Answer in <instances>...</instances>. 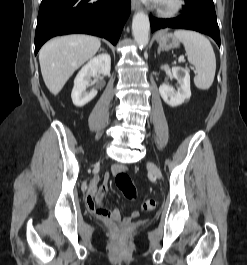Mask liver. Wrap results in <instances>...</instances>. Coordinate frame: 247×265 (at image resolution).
<instances>
[{"label":"liver","instance_id":"1","mask_svg":"<svg viewBox=\"0 0 247 265\" xmlns=\"http://www.w3.org/2000/svg\"><path fill=\"white\" fill-rule=\"evenodd\" d=\"M100 46L97 37L80 34L48 41L39 52V62L49 91L57 95L75 70L91 59Z\"/></svg>","mask_w":247,"mask_h":265}]
</instances>
